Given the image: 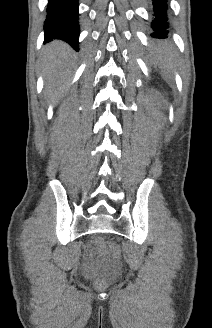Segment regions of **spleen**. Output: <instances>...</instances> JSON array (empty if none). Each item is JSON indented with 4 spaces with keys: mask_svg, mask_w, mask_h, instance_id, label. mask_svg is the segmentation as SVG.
Here are the masks:
<instances>
[{
    "mask_svg": "<svg viewBox=\"0 0 212 328\" xmlns=\"http://www.w3.org/2000/svg\"><path fill=\"white\" fill-rule=\"evenodd\" d=\"M155 62L163 65L167 70H171L172 55L170 47H158L157 51L153 54Z\"/></svg>",
    "mask_w": 212,
    "mask_h": 328,
    "instance_id": "1",
    "label": "spleen"
}]
</instances>
